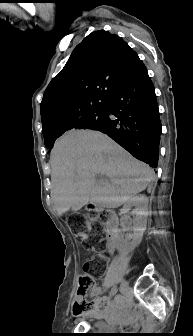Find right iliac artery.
<instances>
[{
    "label": "right iliac artery",
    "instance_id": "1",
    "mask_svg": "<svg viewBox=\"0 0 193 336\" xmlns=\"http://www.w3.org/2000/svg\"><path fill=\"white\" fill-rule=\"evenodd\" d=\"M120 299V295H116L115 298H114V301H118Z\"/></svg>",
    "mask_w": 193,
    "mask_h": 336
}]
</instances>
